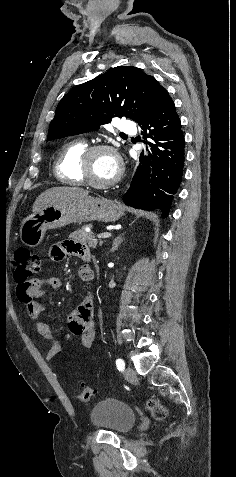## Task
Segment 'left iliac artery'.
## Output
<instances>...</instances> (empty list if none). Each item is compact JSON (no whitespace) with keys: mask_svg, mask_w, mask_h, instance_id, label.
<instances>
[{"mask_svg":"<svg viewBox=\"0 0 236 477\" xmlns=\"http://www.w3.org/2000/svg\"><path fill=\"white\" fill-rule=\"evenodd\" d=\"M116 366H117L119 371H123L124 368H125V363L121 358H119V359L116 360Z\"/></svg>","mask_w":236,"mask_h":477,"instance_id":"44dca946","label":"left iliac artery"}]
</instances>
